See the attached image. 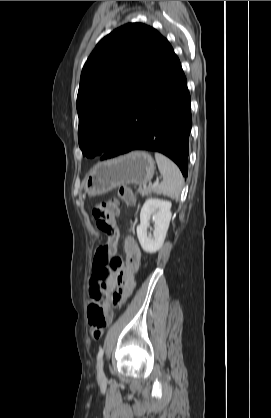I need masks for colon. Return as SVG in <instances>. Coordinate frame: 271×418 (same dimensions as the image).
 Instances as JSON below:
<instances>
[{
  "label": "colon",
  "mask_w": 271,
  "mask_h": 418,
  "mask_svg": "<svg viewBox=\"0 0 271 418\" xmlns=\"http://www.w3.org/2000/svg\"><path fill=\"white\" fill-rule=\"evenodd\" d=\"M132 205L134 195L127 187H120L115 198L98 203L93 209V217L98 229L104 232L109 241L116 237L114 218L119 212L120 204ZM121 266L119 257H109V244L101 246L93 261V278L97 283L88 309V321L94 338H99L112 320V313L107 308V298L101 283Z\"/></svg>",
  "instance_id": "1"
}]
</instances>
